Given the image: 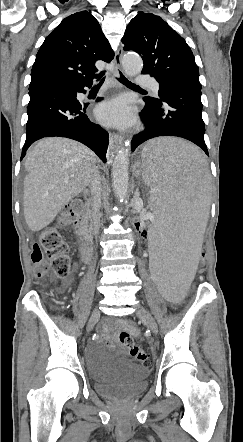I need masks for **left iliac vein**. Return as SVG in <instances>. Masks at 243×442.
I'll use <instances>...</instances> for the list:
<instances>
[{
	"mask_svg": "<svg viewBox=\"0 0 243 442\" xmlns=\"http://www.w3.org/2000/svg\"><path fill=\"white\" fill-rule=\"evenodd\" d=\"M137 316L148 326L151 332L158 333L157 323L152 314L143 307L138 308L136 312Z\"/></svg>",
	"mask_w": 243,
	"mask_h": 442,
	"instance_id": "left-iliac-vein-1",
	"label": "left iliac vein"
}]
</instances>
